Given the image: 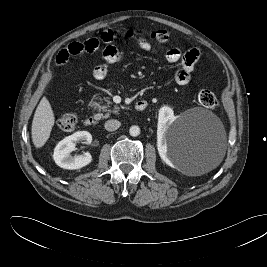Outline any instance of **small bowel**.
<instances>
[{
    "label": "small bowel",
    "mask_w": 267,
    "mask_h": 267,
    "mask_svg": "<svg viewBox=\"0 0 267 267\" xmlns=\"http://www.w3.org/2000/svg\"><path fill=\"white\" fill-rule=\"evenodd\" d=\"M118 36L115 30H106L100 37H90L82 42H72L64 49H62L56 56V62L59 65L65 64L71 56L78 55L83 52L96 51L100 43H106L107 46L103 50V60L99 62L94 68L92 75L96 80H103L109 72V66L113 63L120 62L123 59V53L113 46L111 43ZM140 46L150 51L151 46L144 41L141 35L138 36ZM200 57V51L191 49L182 54L180 51L173 49L167 52L166 60L170 64L181 61V68L175 74V81L178 85H186L190 81L191 72L194 69L195 63Z\"/></svg>",
    "instance_id": "1"
}]
</instances>
